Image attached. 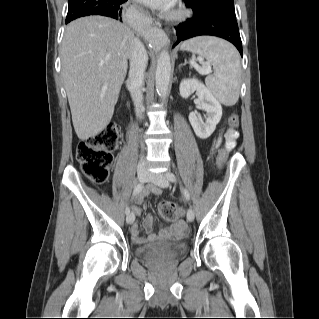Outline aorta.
I'll return each instance as SVG.
<instances>
[{
  "label": "aorta",
  "instance_id": "obj_1",
  "mask_svg": "<svg viewBox=\"0 0 319 319\" xmlns=\"http://www.w3.org/2000/svg\"><path fill=\"white\" fill-rule=\"evenodd\" d=\"M171 76V62L168 51L163 50L157 61L155 83L161 98L167 94Z\"/></svg>",
  "mask_w": 319,
  "mask_h": 319
}]
</instances>
